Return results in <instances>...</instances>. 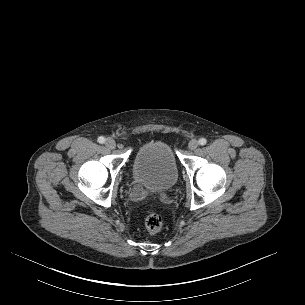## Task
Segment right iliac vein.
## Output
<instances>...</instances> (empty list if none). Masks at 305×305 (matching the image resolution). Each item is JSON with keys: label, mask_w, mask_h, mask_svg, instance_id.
<instances>
[{"label": "right iliac vein", "mask_w": 305, "mask_h": 305, "mask_svg": "<svg viewBox=\"0 0 305 305\" xmlns=\"http://www.w3.org/2000/svg\"><path fill=\"white\" fill-rule=\"evenodd\" d=\"M105 145L109 148V149H114L116 147V142L114 139L112 138H107L105 141Z\"/></svg>", "instance_id": "63e3f726"}]
</instances>
